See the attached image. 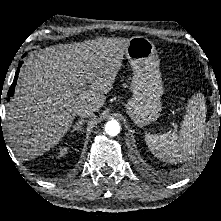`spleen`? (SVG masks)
Returning <instances> with one entry per match:
<instances>
[{
	"instance_id": "3e777b00",
	"label": "spleen",
	"mask_w": 221,
	"mask_h": 221,
	"mask_svg": "<svg viewBox=\"0 0 221 221\" xmlns=\"http://www.w3.org/2000/svg\"><path fill=\"white\" fill-rule=\"evenodd\" d=\"M206 107L198 95L191 99L181 129L173 133L146 134V144L153 155L168 163H182L199 150L205 133Z\"/></svg>"
}]
</instances>
